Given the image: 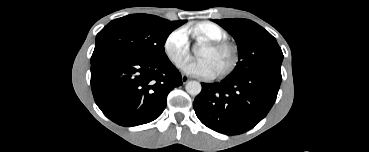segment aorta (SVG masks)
I'll use <instances>...</instances> for the list:
<instances>
[{"mask_svg":"<svg viewBox=\"0 0 369 152\" xmlns=\"http://www.w3.org/2000/svg\"><path fill=\"white\" fill-rule=\"evenodd\" d=\"M185 89L188 94L197 96L201 92L202 86L198 81H188Z\"/></svg>","mask_w":369,"mask_h":152,"instance_id":"762f6f07","label":"aorta"}]
</instances>
